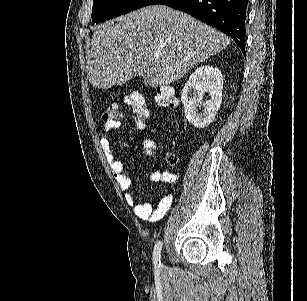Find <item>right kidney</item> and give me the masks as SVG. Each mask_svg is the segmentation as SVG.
<instances>
[{
    "mask_svg": "<svg viewBox=\"0 0 307 301\" xmlns=\"http://www.w3.org/2000/svg\"><path fill=\"white\" fill-rule=\"evenodd\" d=\"M223 76L221 70L210 64L195 68L181 90L185 116L196 128H205L213 122L221 104ZM204 92L210 98L202 104ZM200 106L203 110L199 112Z\"/></svg>",
    "mask_w": 307,
    "mask_h": 301,
    "instance_id": "ca27d5eb",
    "label": "right kidney"
}]
</instances>
